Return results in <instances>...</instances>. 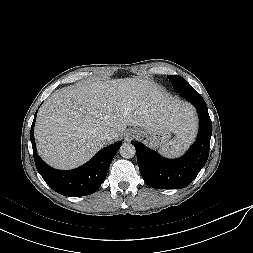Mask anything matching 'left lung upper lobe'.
<instances>
[{
	"instance_id": "5c2ea615",
	"label": "left lung upper lobe",
	"mask_w": 253,
	"mask_h": 253,
	"mask_svg": "<svg viewBox=\"0 0 253 253\" xmlns=\"http://www.w3.org/2000/svg\"><path fill=\"white\" fill-rule=\"evenodd\" d=\"M168 79L171 81L175 91L183 93L192 89L193 87L179 75H169Z\"/></svg>"
}]
</instances>
